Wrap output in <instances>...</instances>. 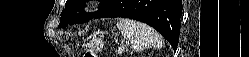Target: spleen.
Instances as JSON below:
<instances>
[{"mask_svg":"<svg viewBox=\"0 0 249 57\" xmlns=\"http://www.w3.org/2000/svg\"><path fill=\"white\" fill-rule=\"evenodd\" d=\"M117 28L124 39L130 41L135 51H142L151 47L164 45L161 35L149 25L132 19H120Z\"/></svg>","mask_w":249,"mask_h":57,"instance_id":"1","label":"spleen"}]
</instances>
